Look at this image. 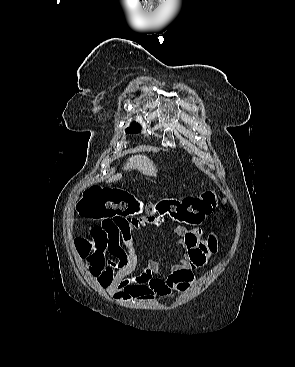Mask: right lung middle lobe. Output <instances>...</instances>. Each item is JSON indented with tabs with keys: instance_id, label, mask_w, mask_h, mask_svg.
Segmentation results:
<instances>
[{
	"instance_id": "obj_1",
	"label": "right lung middle lobe",
	"mask_w": 295,
	"mask_h": 367,
	"mask_svg": "<svg viewBox=\"0 0 295 367\" xmlns=\"http://www.w3.org/2000/svg\"><path fill=\"white\" fill-rule=\"evenodd\" d=\"M140 131V126L137 123H132L129 128L126 129V133H137Z\"/></svg>"
}]
</instances>
